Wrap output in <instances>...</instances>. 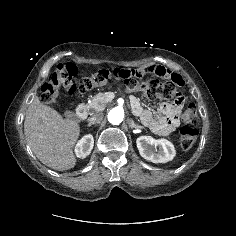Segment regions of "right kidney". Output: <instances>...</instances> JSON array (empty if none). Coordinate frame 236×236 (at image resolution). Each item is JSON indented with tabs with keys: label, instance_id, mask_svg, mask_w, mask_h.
<instances>
[{
	"label": "right kidney",
	"instance_id": "1",
	"mask_svg": "<svg viewBox=\"0 0 236 236\" xmlns=\"http://www.w3.org/2000/svg\"><path fill=\"white\" fill-rule=\"evenodd\" d=\"M94 145V139L91 134L83 136L75 147V154L78 158H85L88 156Z\"/></svg>",
	"mask_w": 236,
	"mask_h": 236
}]
</instances>
